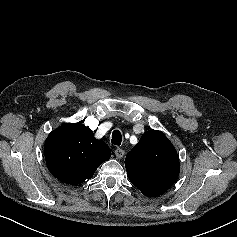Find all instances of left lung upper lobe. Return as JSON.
Returning a JSON list of instances; mask_svg holds the SVG:
<instances>
[{"instance_id":"obj_1","label":"left lung upper lobe","mask_w":237,"mask_h":237,"mask_svg":"<svg viewBox=\"0 0 237 237\" xmlns=\"http://www.w3.org/2000/svg\"><path fill=\"white\" fill-rule=\"evenodd\" d=\"M127 176L144 195L165 193L179 175V157L171 142L160 131L144 133L126 155Z\"/></svg>"}]
</instances>
